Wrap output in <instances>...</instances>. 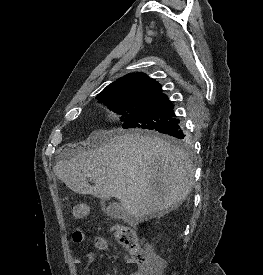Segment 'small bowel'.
Masks as SVG:
<instances>
[{"mask_svg":"<svg viewBox=\"0 0 263 275\" xmlns=\"http://www.w3.org/2000/svg\"><path fill=\"white\" fill-rule=\"evenodd\" d=\"M90 236H88L84 231L82 230H76L73 235H72V240L74 243H82L84 242L85 240H87ZM91 240L93 242V245L96 249L98 250H101V251H105L108 249V242L105 238L103 237H100V236H93L91 237ZM92 261V257H89V262ZM74 262L77 264V265H80L82 266L83 263L81 261V259L79 258L78 256V253H75L74 255ZM127 262L131 265H134L131 258H129L127 260ZM105 275H112L110 273H106ZM131 275H141V272L139 269L135 270L134 272L131 273Z\"/></svg>","mask_w":263,"mask_h":275,"instance_id":"small-bowel-1","label":"small bowel"}]
</instances>
